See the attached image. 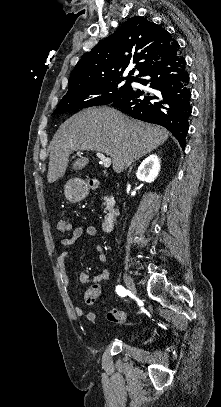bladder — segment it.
<instances>
[{"instance_id": "bladder-1", "label": "bladder", "mask_w": 221, "mask_h": 407, "mask_svg": "<svg viewBox=\"0 0 221 407\" xmlns=\"http://www.w3.org/2000/svg\"><path fill=\"white\" fill-rule=\"evenodd\" d=\"M125 336H126V338L131 339L134 336V332L131 330L127 331Z\"/></svg>"}]
</instances>
